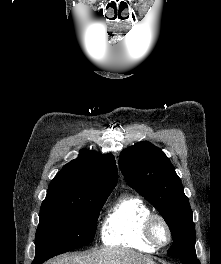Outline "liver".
<instances>
[{
    "label": "liver",
    "mask_w": 221,
    "mask_h": 264,
    "mask_svg": "<svg viewBox=\"0 0 221 264\" xmlns=\"http://www.w3.org/2000/svg\"><path fill=\"white\" fill-rule=\"evenodd\" d=\"M149 257L130 249L108 247L88 254L64 255L45 264H146Z\"/></svg>",
    "instance_id": "1"
}]
</instances>
